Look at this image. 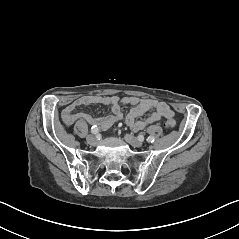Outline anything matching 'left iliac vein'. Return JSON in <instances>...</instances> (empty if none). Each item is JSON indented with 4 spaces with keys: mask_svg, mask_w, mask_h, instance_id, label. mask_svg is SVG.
I'll return each mask as SVG.
<instances>
[{
    "mask_svg": "<svg viewBox=\"0 0 239 239\" xmlns=\"http://www.w3.org/2000/svg\"><path fill=\"white\" fill-rule=\"evenodd\" d=\"M124 139L126 140L127 143H129L133 147H141L143 145V142L141 140L137 139L136 137L130 134H126L124 136Z\"/></svg>",
    "mask_w": 239,
    "mask_h": 239,
    "instance_id": "left-iliac-vein-1",
    "label": "left iliac vein"
}]
</instances>
